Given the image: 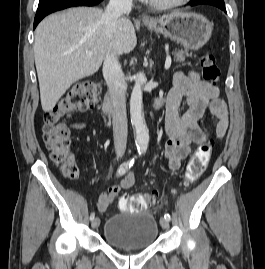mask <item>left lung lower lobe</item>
<instances>
[{
    "label": "left lung lower lobe",
    "mask_w": 265,
    "mask_h": 269,
    "mask_svg": "<svg viewBox=\"0 0 265 269\" xmlns=\"http://www.w3.org/2000/svg\"><path fill=\"white\" fill-rule=\"evenodd\" d=\"M191 6L201 5V4H208L213 5L226 13V8L224 4V0H194L193 2L189 3Z\"/></svg>",
    "instance_id": "obj_1"
}]
</instances>
